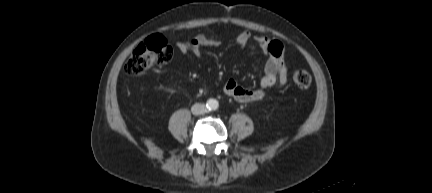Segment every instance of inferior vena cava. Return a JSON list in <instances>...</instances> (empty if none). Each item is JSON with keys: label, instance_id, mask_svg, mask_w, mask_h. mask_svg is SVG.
Wrapping results in <instances>:
<instances>
[{"label": "inferior vena cava", "instance_id": "602c4592", "mask_svg": "<svg viewBox=\"0 0 432 193\" xmlns=\"http://www.w3.org/2000/svg\"><path fill=\"white\" fill-rule=\"evenodd\" d=\"M191 111L194 115H201L207 112V108L204 104L201 103H195L192 108Z\"/></svg>", "mask_w": 432, "mask_h": 193}]
</instances>
